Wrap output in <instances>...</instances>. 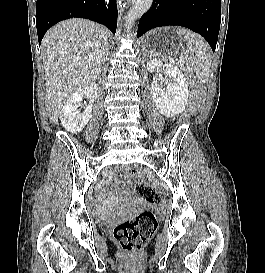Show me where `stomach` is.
<instances>
[{"label":"stomach","instance_id":"1","mask_svg":"<svg viewBox=\"0 0 265 273\" xmlns=\"http://www.w3.org/2000/svg\"><path fill=\"white\" fill-rule=\"evenodd\" d=\"M177 25H162V30H151L146 40H140V49H154L148 51V56H176L178 35H184V30H177Z\"/></svg>","mask_w":265,"mask_h":273}]
</instances>
